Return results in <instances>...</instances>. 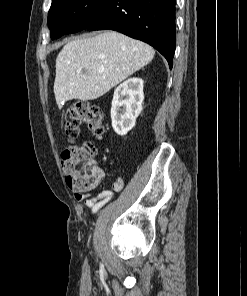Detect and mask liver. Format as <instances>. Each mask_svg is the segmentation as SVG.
I'll return each instance as SVG.
<instances>
[{
  "label": "liver",
  "instance_id": "1",
  "mask_svg": "<svg viewBox=\"0 0 247 296\" xmlns=\"http://www.w3.org/2000/svg\"><path fill=\"white\" fill-rule=\"evenodd\" d=\"M148 44L116 31L68 42L56 58L54 94L58 108L66 101L94 100L152 61Z\"/></svg>",
  "mask_w": 247,
  "mask_h": 296
}]
</instances>
